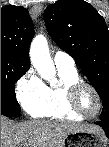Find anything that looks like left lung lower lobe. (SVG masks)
Returning <instances> with one entry per match:
<instances>
[{
    "label": "left lung lower lobe",
    "instance_id": "left-lung-lower-lobe-1",
    "mask_svg": "<svg viewBox=\"0 0 109 147\" xmlns=\"http://www.w3.org/2000/svg\"><path fill=\"white\" fill-rule=\"evenodd\" d=\"M95 124L101 126L104 129L106 136L109 138V121L99 120L95 122Z\"/></svg>",
    "mask_w": 109,
    "mask_h": 147
}]
</instances>
